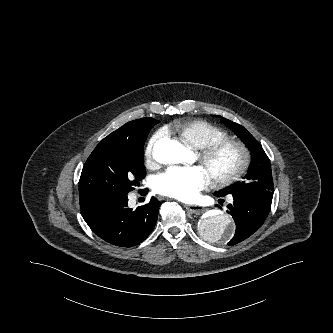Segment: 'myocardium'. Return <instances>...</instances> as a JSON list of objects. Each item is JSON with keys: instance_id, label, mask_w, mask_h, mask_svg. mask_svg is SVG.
<instances>
[{"instance_id": "f54148a6", "label": "myocardium", "mask_w": 333, "mask_h": 333, "mask_svg": "<svg viewBox=\"0 0 333 333\" xmlns=\"http://www.w3.org/2000/svg\"><path fill=\"white\" fill-rule=\"evenodd\" d=\"M235 149L238 153L237 162L224 172H213L210 175L213 183L217 185H229L240 179L248 170L251 162V154L245 143L236 139L225 138L204 147L198 148V160L207 163L219 152L225 149Z\"/></svg>"}]
</instances>
